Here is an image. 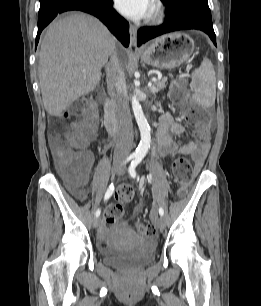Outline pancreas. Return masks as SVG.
<instances>
[{"label":"pancreas","instance_id":"obj_1","mask_svg":"<svg viewBox=\"0 0 261 306\" xmlns=\"http://www.w3.org/2000/svg\"><path fill=\"white\" fill-rule=\"evenodd\" d=\"M166 80L154 81L152 88H150L151 93L155 94L165 87Z\"/></svg>","mask_w":261,"mask_h":306}]
</instances>
